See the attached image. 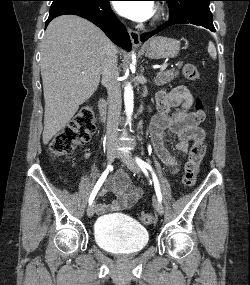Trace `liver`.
Wrapping results in <instances>:
<instances>
[{
  "mask_svg": "<svg viewBox=\"0 0 250 285\" xmlns=\"http://www.w3.org/2000/svg\"><path fill=\"white\" fill-rule=\"evenodd\" d=\"M114 48L98 27L81 17L64 15L48 25L40 61L44 144L65 128L79 106L96 91L101 64Z\"/></svg>",
  "mask_w": 250,
  "mask_h": 285,
  "instance_id": "liver-1",
  "label": "liver"
}]
</instances>
